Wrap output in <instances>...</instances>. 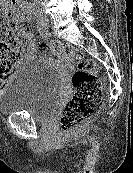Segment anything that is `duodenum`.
<instances>
[{
    "label": "duodenum",
    "mask_w": 133,
    "mask_h": 173,
    "mask_svg": "<svg viewBox=\"0 0 133 173\" xmlns=\"http://www.w3.org/2000/svg\"><path fill=\"white\" fill-rule=\"evenodd\" d=\"M12 4L14 6H18L19 9L21 10L22 15L27 18L31 19L32 18V7L29 3L25 2L24 0H11Z\"/></svg>",
    "instance_id": "410a0bca"
}]
</instances>
